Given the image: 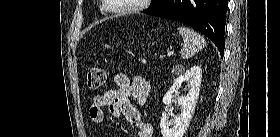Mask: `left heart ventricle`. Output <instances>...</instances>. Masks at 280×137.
<instances>
[{"label": "left heart ventricle", "mask_w": 280, "mask_h": 137, "mask_svg": "<svg viewBox=\"0 0 280 137\" xmlns=\"http://www.w3.org/2000/svg\"><path fill=\"white\" fill-rule=\"evenodd\" d=\"M115 6H128L134 3V0H113Z\"/></svg>", "instance_id": "1"}]
</instances>
